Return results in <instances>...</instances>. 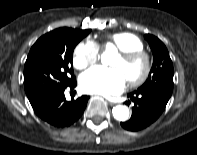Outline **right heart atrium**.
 I'll return each instance as SVG.
<instances>
[{
	"mask_svg": "<svg viewBox=\"0 0 197 155\" xmlns=\"http://www.w3.org/2000/svg\"><path fill=\"white\" fill-rule=\"evenodd\" d=\"M99 57V46L91 40H86L75 47L72 63L76 69L83 70L96 63Z\"/></svg>",
	"mask_w": 197,
	"mask_h": 155,
	"instance_id": "d8ad5b80",
	"label": "right heart atrium"
}]
</instances>
